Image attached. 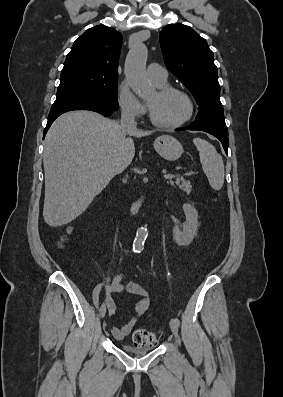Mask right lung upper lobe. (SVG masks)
Returning a JSON list of instances; mask_svg holds the SVG:
<instances>
[{"label":"right lung upper lobe","mask_w":283,"mask_h":397,"mask_svg":"<svg viewBox=\"0 0 283 397\" xmlns=\"http://www.w3.org/2000/svg\"><path fill=\"white\" fill-rule=\"evenodd\" d=\"M122 35L107 26H95L73 44L62 73L74 72L107 78H118V61Z\"/></svg>","instance_id":"cb5924a9"}]
</instances>
